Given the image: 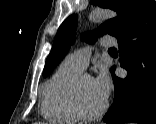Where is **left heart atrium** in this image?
I'll return each instance as SVG.
<instances>
[{"mask_svg": "<svg viewBox=\"0 0 156 124\" xmlns=\"http://www.w3.org/2000/svg\"><path fill=\"white\" fill-rule=\"evenodd\" d=\"M93 82L99 94L107 100L111 90V81L107 71L102 69Z\"/></svg>", "mask_w": 156, "mask_h": 124, "instance_id": "obj_1", "label": "left heart atrium"}]
</instances>
